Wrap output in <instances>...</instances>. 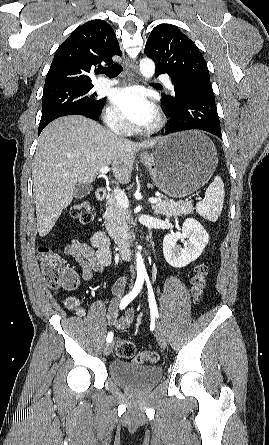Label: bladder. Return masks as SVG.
Returning <instances> with one entry per match:
<instances>
[{"label": "bladder", "mask_w": 269, "mask_h": 445, "mask_svg": "<svg viewBox=\"0 0 269 445\" xmlns=\"http://www.w3.org/2000/svg\"><path fill=\"white\" fill-rule=\"evenodd\" d=\"M111 380L117 385L133 390H141L156 384L162 377L159 366L138 365L132 362L116 359L108 367Z\"/></svg>", "instance_id": "obj_1"}]
</instances>
